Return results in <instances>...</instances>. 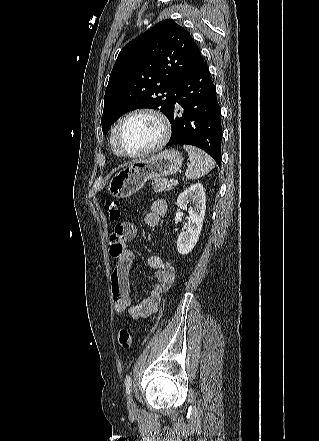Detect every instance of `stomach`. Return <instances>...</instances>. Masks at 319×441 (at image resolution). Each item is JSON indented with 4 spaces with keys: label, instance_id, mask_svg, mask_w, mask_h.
<instances>
[{
    "label": "stomach",
    "instance_id": "0dacf381",
    "mask_svg": "<svg viewBox=\"0 0 319 441\" xmlns=\"http://www.w3.org/2000/svg\"><path fill=\"white\" fill-rule=\"evenodd\" d=\"M182 155L175 149L164 150L147 159L132 161L116 173L109 182V194L127 198L140 190L149 179L175 174L181 164Z\"/></svg>",
    "mask_w": 319,
    "mask_h": 441
}]
</instances>
